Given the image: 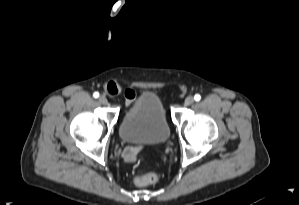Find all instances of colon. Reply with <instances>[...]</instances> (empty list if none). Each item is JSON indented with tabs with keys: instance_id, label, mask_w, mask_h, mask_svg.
<instances>
[{
	"instance_id": "5ec220e1",
	"label": "colon",
	"mask_w": 299,
	"mask_h": 205,
	"mask_svg": "<svg viewBox=\"0 0 299 205\" xmlns=\"http://www.w3.org/2000/svg\"><path fill=\"white\" fill-rule=\"evenodd\" d=\"M158 175L155 172H147L141 176H136L134 182L138 186H147L157 182Z\"/></svg>"
}]
</instances>
